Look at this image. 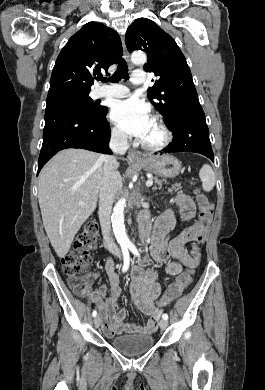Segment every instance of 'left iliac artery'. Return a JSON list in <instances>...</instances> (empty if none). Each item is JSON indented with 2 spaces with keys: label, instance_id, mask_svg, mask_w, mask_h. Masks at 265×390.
<instances>
[{
  "label": "left iliac artery",
  "instance_id": "left-iliac-artery-1",
  "mask_svg": "<svg viewBox=\"0 0 265 390\" xmlns=\"http://www.w3.org/2000/svg\"><path fill=\"white\" fill-rule=\"evenodd\" d=\"M128 248L130 249V251H131L135 256L140 257V254H139L137 248H136L133 244H129ZM162 318H163L164 320H167V319H168V315H167L166 313H164V314L162 315Z\"/></svg>",
  "mask_w": 265,
  "mask_h": 390
}]
</instances>
